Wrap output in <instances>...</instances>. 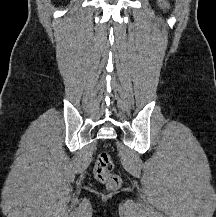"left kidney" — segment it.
Wrapping results in <instances>:
<instances>
[{
    "label": "left kidney",
    "instance_id": "1",
    "mask_svg": "<svg viewBox=\"0 0 216 217\" xmlns=\"http://www.w3.org/2000/svg\"><path fill=\"white\" fill-rule=\"evenodd\" d=\"M159 2L160 1H163V0H158ZM161 7H168L169 5L166 3V2H162L160 3Z\"/></svg>",
    "mask_w": 216,
    "mask_h": 217
}]
</instances>
